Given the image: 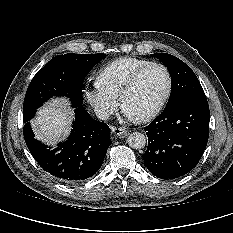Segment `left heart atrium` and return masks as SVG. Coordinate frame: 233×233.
<instances>
[{"label":"left heart atrium","mask_w":233,"mask_h":233,"mask_svg":"<svg viewBox=\"0 0 233 233\" xmlns=\"http://www.w3.org/2000/svg\"><path fill=\"white\" fill-rule=\"evenodd\" d=\"M122 114H123L124 118H126L127 120H136L137 119V117L132 112H130L127 108H125L124 106L122 108Z\"/></svg>","instance_id":"39dd6f15"}]
</instances>
